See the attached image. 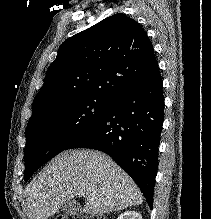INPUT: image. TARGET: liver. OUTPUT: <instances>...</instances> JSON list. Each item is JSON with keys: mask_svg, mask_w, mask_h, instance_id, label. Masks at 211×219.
I'll use <instances>...</instances> for the list:
<instances>
[{"mask_svg": "<svg viewBox=\"0 0 211 219\" xmlns=\"http://www.w3.org/2000/svg\"><path fill=\"white\" fill-rule=\"evenodd\" d=\"M29 219H48L74 196L87 202L83 211L103 214L139 205L143 196L130 176L109 156L94 150H71L56 156L30 184Z\"/></svg>", "mask_w": 211, "mask_h": 219, "instance_id": "6515ba94", "label": "liver"}]
</instances>
